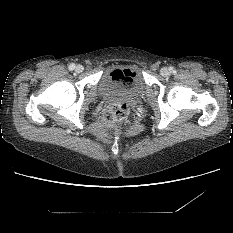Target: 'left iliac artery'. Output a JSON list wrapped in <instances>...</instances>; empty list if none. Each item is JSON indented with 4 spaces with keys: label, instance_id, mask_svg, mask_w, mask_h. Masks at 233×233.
<instances>
[{
    "label": "left iliac artery",
    "instance_id": "1",
    "mask_svg": "<svg viewBox=\"0 0 233 233\" xmlns=\"http://www.w3.org/2000/svg\"><path fill=\"white\" fill-rule=\"evenodd\" d=\"M169 70L174 71L172 67H170V69H169Z\"/></svg>",
    "mask_w": 233,
    "mask_h": 233
}]
</instances>
